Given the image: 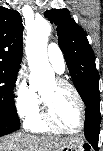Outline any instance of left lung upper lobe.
<instances>
[{"instance_id":"5c2ea615","label":"left lung upper lobe","mask_w":103,"mask_h":151,"mask_svg":"<svg viewBox=\"0 0 103 151\" xmlns=\"http://www.w3.org/2000/svg\"><path fill=\"white\" fill-rule=\"evenodd\" d=\"M44 16L57 26L59 47L72 77L83 98L90 80H99L95 56L84 30L71 18L68 9H51Z\"/></svg>"}]
</instances>
